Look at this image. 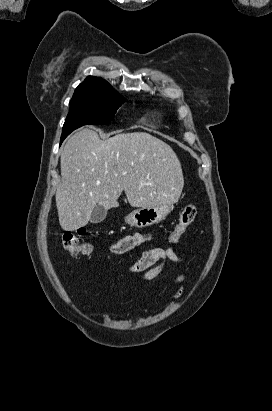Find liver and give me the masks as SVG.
I'll use <instances>...</instances> for the list:
<instances>
[{
	"label": "liver",
	"instance_id": "6515ba94",
	"mask_svg": "<svg viewBox=\"0 0 272 411\" xmlns=\"http://www.w3.org/2000/svg\"><path fill=\"white\" fill-rule=\"evenodd\" d=\"M60 164L56 206L65 231L86 226L96 205L118 207L122 191L132 207L148 208L175 203L184 185L173 149L146 132L101 140L81 129L67 140Z\"/></svg>",
	"mask_w": 272,
	"mask_h": 411
}]
</instances>
